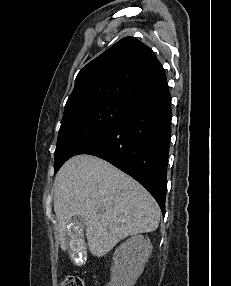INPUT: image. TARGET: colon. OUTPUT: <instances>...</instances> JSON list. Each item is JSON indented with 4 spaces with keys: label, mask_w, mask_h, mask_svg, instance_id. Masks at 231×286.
<instances>
[{
    "label": "colon",
    "mask_w": 231,
    "mask_h": 286,
    "mask_svg": "<svg viewBox=\"0 0 231 286\" xmlns=\"http://www.w3.org/2000/svg\"><path fill=\"white\" fill-rule=\"evenodd\" d=\"M61 286H84V282L79 276L68 275L62 280Z\"/></svg>",
    "instance_id": "5ec220e1"
}]
</instances>
